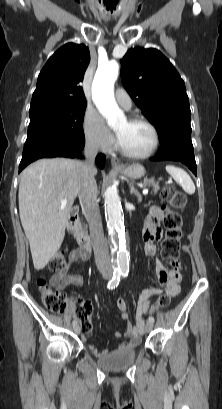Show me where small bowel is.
Segmentation results:
<instances>
[{
    "instance_id": "1",
    "label": "small bowel",
    "mask_w": 222,
    "mask_h": 409,
    "mask_svg": "<svg viewBox=\"0 0 222 409\" xmlns=\"http://www.w3.org/2000/svg\"><path fill=\"white\" fill-rule=\"evenodd\" d=\"M163 215V211L160 207L156 205L150 207L149 215L143 230V248L146 256H156V241L162 236L160 222L163 219ZM87 259L88 255L82 250L72 249L65 268L51 276L49 279V285L55 287L59 291L64 290L68 285H82V277L71 274L70 269L74 264L81 263ZM170 263L174 266L172 269H167L163 263L156 258V273L161 286L145 289L139 294L135 307V323H131L129 320L128 305L126 301L121 297L117 298L116 306L120 311L121 319L125 322V329L123 332L116 330L115 337H124L127 339V341L119 346V349L132 348L139 344L140 336L144 330V316L147 314L146 310L151 307L153 296L161 294L163 290L171 297H175L180 293L182 275L180 273L181 267L179 264L181 263V258L179 256H172L170 258ZM90 349L95 356L104 357L110 353L108 349L99 350L94 346H91Z\"/></svg>"
}]
</instances>
